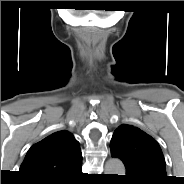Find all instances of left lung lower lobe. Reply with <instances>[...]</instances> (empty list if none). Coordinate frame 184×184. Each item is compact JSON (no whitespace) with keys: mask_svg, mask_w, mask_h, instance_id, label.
I'll return each mask as SVG.
<instances>
[{"mask_svg":"<svg viewBox=\"0 0 184 184\" xmlns=\"http://www.w3.org/2000/svg\"><path fill=\"white\" fill-rule=\"evenodd\" d=\"M111 155H112V154H111ZM112 157H116V156L112 155ZM125 179H126L130 184H144V183H140V182H138V181H136V180H134V179H132V178H130V177H128V176H125Z\"/></svg>","mask_w":184,"mask_h":184,"instance_id":"obj_1","label":"left lung lower lobe"}]
</instances>
